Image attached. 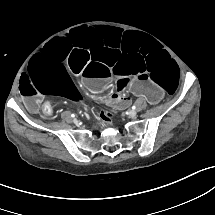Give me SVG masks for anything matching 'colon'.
<instances>
[{
	"label": "colon",
	"instance_id": "5ec220e1",
	"mask_svg": "<svg viewBox=\"0 0 215 215\" xmlns=\"http://www.w3.org/2000/svg\"><path fill=\"white\" fill-rule=\"evenodd\" d=\"M43 115L45 117H49L52 115V106L49 101L44 102L43 104ZM105 115H109V113H106Z\"/></svg>",
	"mask_w": 215,
	"mask_h": 215
}]
</instances>
